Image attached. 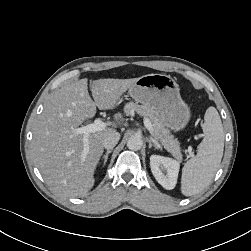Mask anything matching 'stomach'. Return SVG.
Instances as JSON below:
<instances>
[{
  "mask_svg": "<svg viewBox=\"0 0 251 251\" xmlns=\"http://www.w3.org/2000/svg\"><path fill=\"white\" fill-rule=\"evenodd\" d=\"M128 93L137 103L156 109L164 125L173 131L184 129L191 118L190 108L182 100L178 84L169 75H143Z\"/></svg>",
  "mask_w": 251,
  "mask_h": 251,
  "instance_id": "0dacf381",
  "label": "stomach"
}]
</instances>
